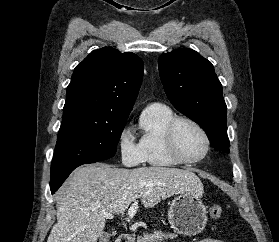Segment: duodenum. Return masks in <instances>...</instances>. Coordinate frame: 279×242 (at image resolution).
Masks as SVG:
<instances>
[{
    "label": "duodenum",
    "mask_w": 279,
    "mask_h": 242,
    "mask_svg": "<svg viewBox=\"0 0 279 242\" xmlns=\"http://www.w3.org/2000/svg\"><path fill=\"white\" fill-rule=\"evenodd\" d=\"M116 242H133V238L128 234H121L117 237Z\"/></svg>",
    "instance_id": "1"
}]
</instances>
